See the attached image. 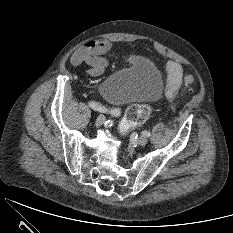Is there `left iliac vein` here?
Here are the masks:
<instances>
[{
	"instance_id": "left-iliac-vein-1",
	"label": "left iliac vein",
	"mask_w": 233,
	"mask_h": 233,
	"mask_svg": "<svg viewBox=\"0 0 233 233\" xmlns=\"http://www.w3.org/2000/svg\"><path fill=\"white\" fill-rule=\"evenodd\" d=\"M148 142V138L146 136H140L138 139H137V144L140 145V146H144L146 145Z\"/></svg>"
}]
</instances>
